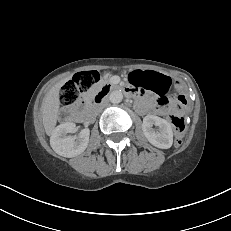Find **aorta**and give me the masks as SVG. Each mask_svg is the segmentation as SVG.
<instances>
[{
	"label": "aorta",
	"mask_w": 231,
	"mask_h": 231,
	"mask_svg": "<svg viewBox=\"0 0 231 231\" xmlns=\"http://www.w3.org/2000/svg\"><path fill=\"white\" fill-rule=\"evenodd\" d=\"M123 99V93L121 90H113L109 95V100L113 104H118Z\"/></svg>",
	"instance_id": "762f6f07"
}]
</instances>
